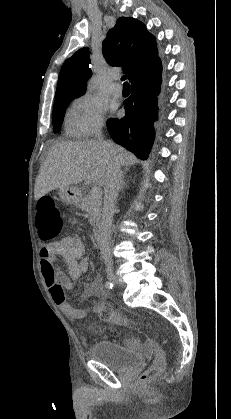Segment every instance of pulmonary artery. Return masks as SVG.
I'll use <instances>...</instances> for the list:
<instances>
[{"label":"pulmonary artery","mask_w":231,"mask_h":419,"mask_svg":"<svg viewBox=\"0 0 231 419\" xmlns=\"http://www.w3.org/2000/svg\"><path fill=\"white\" fill-rule=\"evenodd\" d=\"M110 91H111V94L115 97H120L123 94L122 87L120 86L118 82H115L112 84Z\"/></svg>","instance_id":"e3ab8cb5"}]
</instances>
